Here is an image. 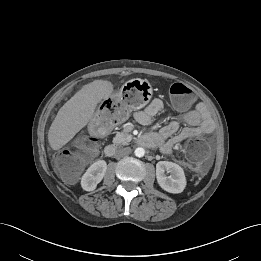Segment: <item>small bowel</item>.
I'll return each mask as SVG.
<instances>
[{
  "instance_id": "small-bowel-1",
  "label": "small bowel",
  "mask_w": 261,
  "mask_h": 261,
  "mask_svg": "<svg viewBox=\"0 0 261 261\" xmlns=\"http://www.w3.org/2000/svg\"><path fill=\"white\" fill-rule=\"evenodd\" d=\"M164 104L160 99H154L144 110L135 113V120L144 126H150L153 118L162 112ZM183 120L187 127L179 130V124L172 121L160 129L159 132L152 135L154 144L160 148L164 154H170L174 146L186 139L210 135L214 129V123L211 117L206 113L203 105L188 110L183 114Z\"/></svg>"
}]
</instances>
